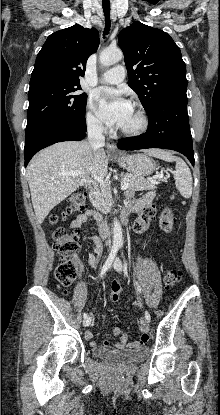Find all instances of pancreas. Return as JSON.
<instances>
[{"label": "pancreas", "mask_w": 220, "mask_h": 415, "mask_svg": "<svg viewBox=\"0 0 220 415\" xmlns=\"http://www.w3.org/2000/svg\"><path fill=\"white\" fill-rule=\"evenodd\" d=\"M121 181L129 183L128 189L133 191L156 189L155 182L131 174H122ZM89 197L92 205L102 213H107L111 209L112 196L108 189L96 187L90 192Z\"/></svg>", "instance_id": "cf45deb5"}]
</instances>
